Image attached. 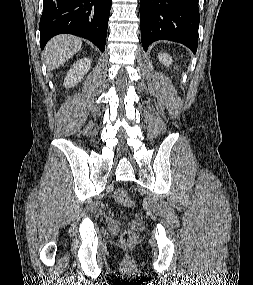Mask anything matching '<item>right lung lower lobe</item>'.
I'll list each match as a JSON object with an SVG mask.
<instances>
[{
	"label": "right lung lower lobe",
	"mask_w": 253,
	"mask_h": 285,
	"mask_svg": "<svg viewBox=\"0 0 253 285\" xmlns=\"http://www.w3.org/2000/svg\"><path fill=\"white\" fill-rule=\"evenodd\" d=\"M112 0H44L40 19V45L50 38L69 33L93 42L105 50Z\"/></svg>",
	"instance_id": "obj_1"
}]
</instances>
